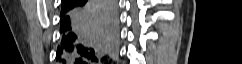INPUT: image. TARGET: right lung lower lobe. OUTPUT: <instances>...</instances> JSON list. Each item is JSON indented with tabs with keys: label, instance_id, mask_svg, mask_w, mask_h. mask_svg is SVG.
<instances>
[{
	"label": "right lung lower lobe",
	"instance_id": "right-lung-lower-lobe-1",
	"mask_svg": "<svg viewBox=\"0 0 242 64\" xmlns=\"http://www.w3.org/2000/svg\"><path fill=\"white\" fill-rule=\"evenodd\" d=\"M116 0H63L58 64H111L117 43Z\"/></svg>",
	"mask_w": 242,
	"mask_h": 64
}]
</instances>
